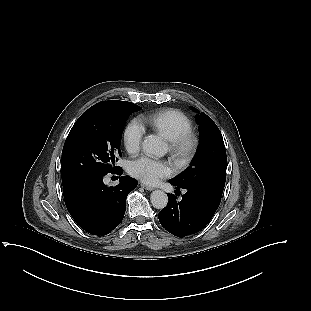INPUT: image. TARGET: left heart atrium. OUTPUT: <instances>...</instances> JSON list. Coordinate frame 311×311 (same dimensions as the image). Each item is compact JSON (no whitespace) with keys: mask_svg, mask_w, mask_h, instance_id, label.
I'll return each mask as SVG.
<instances>
[{"mask_svg":"<svg viewBox=\"0 0 311 311\" xmlns=\"http://www.w3.org/2000/svg\"><path fill=\"white\" fill-rule=\"evenodd\" d=\"M129 172L144 183L152 184L169 174L168 165L161 161L143 156L129 166Z\"/></svg>","mask_w":311,"mask_h":311,"instance_id":"39dd6f15","label":"left heart atrium"}]
</instances>
